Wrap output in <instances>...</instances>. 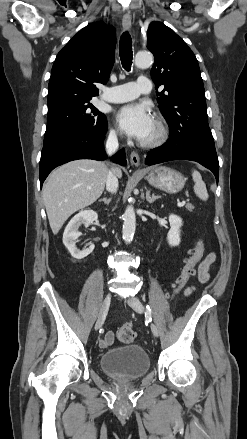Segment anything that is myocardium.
Masks as SVG:
<instances>
[{"instance_id": "1", "label": "myocardium", "mask_w": 247, "mask_h": 439, "mask_svg": "<svg viewBox=\"0 0 247 439\" xmlns=\"http://www.w3.org/2000/svg\"><path fill=\"white\" fill-rule=\"evenodd\" d=\"M154 122L156 125V135L148 141H142L140 143L142 147L145 148L159 147L164 143H166V141L169 138L170 132L166 121L162 117L156 116Z\"/></svg>"}]
</instances>
